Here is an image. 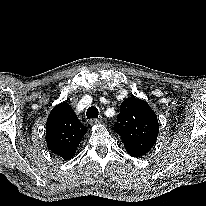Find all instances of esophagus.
Here are the masks:
<instances>
[{"instance_id":"esophagus-1","label":"esophagus","mask_w":206,"mask_h":206,"mask_svg":"<svg viewBox=\"0 0 206 206\" xmlns=\"http://www.w3.org/2000/svg\"><path fill=\"white\" fill-rule=\"evenodd\" d=\"M101 122H102V118L101 117H99V118H92L89 121L91 126H95L97 124H100Z\"/></svg>"}]
</instances>
